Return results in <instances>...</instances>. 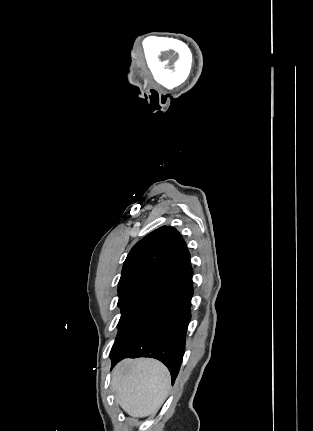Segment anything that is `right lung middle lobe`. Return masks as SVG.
I'll use <instances>...</instances> for the list:
<instances>
[{
	"mask_svg": "<svg viewBox=\"0 0 313 431\" xmlns=\"http://www.w3.org/2000/svg\"><path fill=\"white\" fill-rule=\"evenodd\" d=\"M146 296L127 295L119 297L118 306L121 308V318L118 323V334L127 325L136 311L146 300Z\"/></svg>",
	"mask_w": 313,
	"mask_h": 431,
	"instance_id": "dd1d6c3e",
	"label": "right lung middle lobe"
}]
</instances>
